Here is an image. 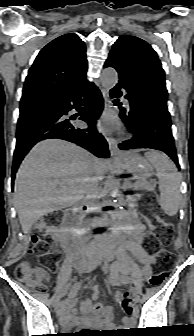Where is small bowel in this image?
<instances>
[{"instance_id": "obj_1", "label": "small bowel", "mask_w": 194, "mask_h": 336, "mask_svg": "<svg viewBox=\"0 0 194 336\" xmlns=\"http://www.w3.org/2000/svg\"><path fill=\"white\" fill-rule=\"evenodd\" d=\"M145 238V227L139 221L136 212L130 211L128 214L127 238L119 241L112 254L116 260L111 266L109 275L105 283L113 286H122L130 281L139 285L141 282L152 275V258L143 247ZM129 251L136 257L142 267L138 269L131 257L127 254ZM76 263V262H75ZM78 269L83 273H88L89 269L76 263ZM77 287L74 289L72 296L61 307V320L64 324L72 326L79 323L91 325L110 326L113 323L114 309L112 306L104 305L100 302L94 303L99 298L100 289L98 286L93 288L91 299L83 301L80 305L81 317H78L74 310L76 302ZM117 301L122 300L120 292L115 293ZM132 318H125L126 326L132 325Z\"/></svg>"}]
</instances>
